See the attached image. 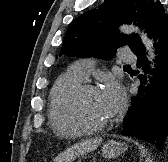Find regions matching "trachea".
<instances>
[{"mask_svg":"<svg viewBox=\"0 0 168 162\" xmlns=\"http://www.w3.org/2000/svg\"><path fill=\"white\" fill-rule=\"evenodd\" d=\"M124 67H130V65H124Z\"/></svg>","mask_w":168,"mask_h":162,"instance_id":"obj_1","label":"trachea"}]
</instances>
